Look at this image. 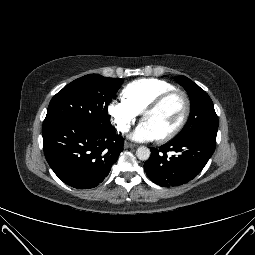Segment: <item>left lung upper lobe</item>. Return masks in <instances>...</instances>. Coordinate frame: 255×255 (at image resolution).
Returning <instances> with one entry per match:
<instances>
[{
    "instance_id": "obj_1",
    "label": "left lung upper lobe",
    "mask_w": 255,
    "mask_h": 255,
    "mask_svg": "<svg viewBox=\"0 0 255 255\" xmlns=\"http://www.w3.org/2000/svg\"><path fill=\"white\" fill-rule=\"evenodd\" d=\"M187 91L191 102V114L183 130L173 139L182 141L190 138L216 140L218 117L209 95L189 78H176Z\"/></svg>"
}]
</instances>
